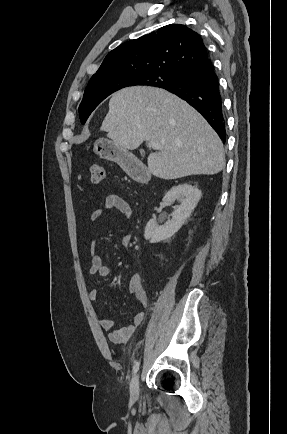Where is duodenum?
<instances>
[{"label": "duodenum", "mask_w": 287, "mask_h": 434, "mask_svg": "<svg viewBox=\"0 0 287 434\" xmlns=\"http://www.w3.org/2000/svg\"><path fill=\"white\" fill-rule=\"evenodd\" d=\"M123 165L136 181L145 182L148 180L147 171L134 158L126 156L123 159Z\"/></svg>", "instance_id": "duodenum-1"}]
</instances>
